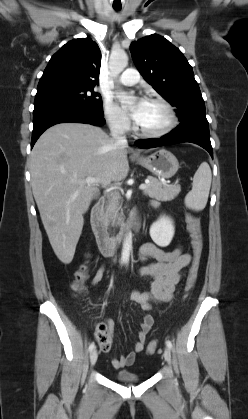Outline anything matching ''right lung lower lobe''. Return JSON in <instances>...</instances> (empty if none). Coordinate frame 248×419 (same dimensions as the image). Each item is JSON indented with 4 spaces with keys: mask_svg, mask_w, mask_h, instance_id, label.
<instances>
[{
    "mask_svg": "<svg viewBox=\"0 0 248 419\" xmlns=\"http://www.w3.org/2000/svg\"><path fill=\"white\" fill-rule=\"evenodd\" d=\"M63 122H78L103 126L105 119L103 114L95 113L82 105L73 103H55L35 107L33 111L34 127L31 148L47 128Z\"/></svg>",
    "mask_w": 248,
    "mask_h": 419,
    "instance_id": "right-lung-lower-lobe-1",
    "label": "right lung lower lobe"
}]
</instances>
